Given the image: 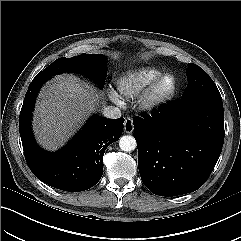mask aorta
Here are the masks:
<instances>
[{
	"label": "aorta",
	"mask_w": 241,
	"mask_h": 241,
	"mask_svg": "<svg viewBox=\"0 0 241 241\" xmlns=\"http://www.w3.org/2000/svg\"><path fill=\"white\" fill-rule=\"evenodd\" d=\"M136 140L133 136L125 135L119 139V147L122 151L130 152L136 148Z\"/></svg>",
	"instance_id": "1"
}]
</instances>
